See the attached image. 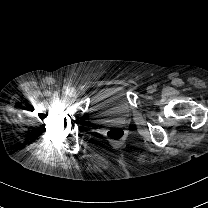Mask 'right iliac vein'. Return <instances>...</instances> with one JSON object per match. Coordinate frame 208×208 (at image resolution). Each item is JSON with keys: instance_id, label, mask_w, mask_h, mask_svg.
<instances>
[{"instance_id": "right-iliac-vein-1", "label": "right iliac vein", "mask_w": 208, "mask_h": 208, "mask_svg": "<svg viewBox=\"0 0 208 208\" xmlns=\"http://www.w3.org/2000/svg\"><path fill=\"white\" fill-rule=\"evenodd\" d=\"M68 94L70 97H74L76 94V90L74 88H70L68 91Z\"/></svg>"}]
</instances>
